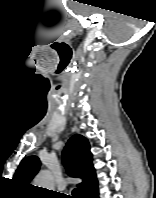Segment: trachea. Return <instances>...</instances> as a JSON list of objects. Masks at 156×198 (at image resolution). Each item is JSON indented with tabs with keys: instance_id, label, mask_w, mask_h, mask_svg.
Masks as SVG:
<instances>
[{
	"instance_id": "3493384b",
	"label": "trachea",
	"mask_w": 156,
	"mask_h": 198,
	"mask_svg": "<svg viewBox=\"0 0 156 198\" xmlns=\"http://www.w3.org/2000/svg\"><path fill=\"white\" fill-rule=\"evenodd\" d=\"M82 190L80 189H74L72 193V198H82Z\"/></svg>"
}]
</instances>
